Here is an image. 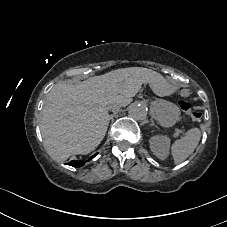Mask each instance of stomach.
<instances>
[{"label":"stomach","mask_w":227,"mask_h":227,"mask_svg":"<svg viewBox=\"0 0 227 227\" xmlns=\"http://www.w3.org/2000/svg\"><path fill=\"white\" fill-rule=\"evenodd\" d=\"M155 117L163 127H171L180 120V109L174 103L166 100H156L152 103Z\"/></svg>","instance_id":"stomach-1"}]
</instances>
